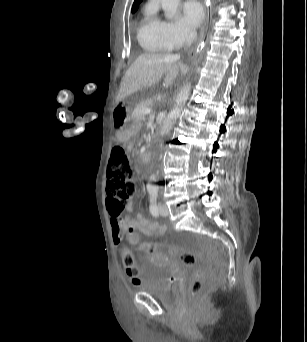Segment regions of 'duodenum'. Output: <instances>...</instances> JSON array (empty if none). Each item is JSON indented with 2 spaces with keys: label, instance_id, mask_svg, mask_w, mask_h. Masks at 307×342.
<instances>
[{
  "label": "duodenum",
  "instance_id": "1",
  "mask_svg": "<svg viewBox=\"0 0 307 342\" xmlns=\"http://www.w3.org/2000/svg\"><path fill=\"white\" fill-rule=\"evenodd\" d=\"M140 160L143 165L149 161V155L147 152L144 151L141 153Z\"/></svg>",
  "mask_w": 307,
  "mask_h": 342
}]
</instances>
